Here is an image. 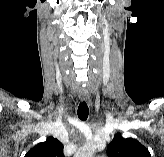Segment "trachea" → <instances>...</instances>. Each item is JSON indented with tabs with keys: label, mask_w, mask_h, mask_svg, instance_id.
<instances>
[{
	"label": "trachea",
	"mask_w": 164,
	"mask_h": 157,
	"mask_svg": "<svg viewBox=\"0 0 164 157\" xmlns=\"http://www.w3.org/2000/svg\"><path fill=\"white\" fill-rule=\"evenodd\" d=\"M77 114L82 121H85L88 118L89 109L85 101L79 104Z\"/></svg>",
	"instance_id": "obj_1"
}]
</instances>
